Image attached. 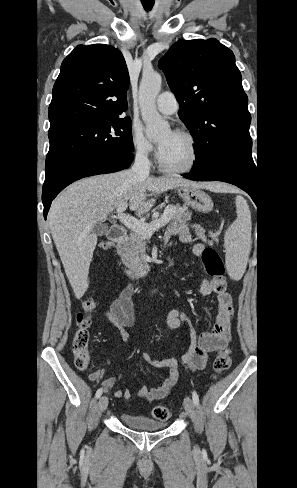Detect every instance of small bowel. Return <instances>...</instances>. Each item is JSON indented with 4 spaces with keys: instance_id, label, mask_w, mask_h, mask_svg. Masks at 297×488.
<instances>
[{
    "instance_id": "obj_1",
    "label": "small bowel",
    "mask_w": 297,
    "mask_h": 488,
    "mask_svg": "<svg viewBox=\"0 0 297 488\" xmlns=\"http://www.w3.org/2000/svg\"><path fill=\"white\" fill-rule=\"evenodd\" d=\"M175 236L178 237L179 241L182 243L189 244L194 241V236L188 225H172L168 227L165 233V241L169 242ZM204 251L205 246L203 243H195L192 247V253L195 256H201ZM200 292L203 295L214 293L215 291L211 281L203 279L200 283ZM133 293L134 287L132 285H127L112 301L110 310L104 315L105 319L118 329L125 343L129 342L127 328L131 327L135 320L132 303ZM232 313L233 305L231 296L226 292L217 293L215 322L212 328L202 333L197 341L195 329L191 324L189 317L179 309H172L169 312L167 317L169 326L174 329L185 327L192 338L190 345L182 357V364L191 370H201L206 367L210 352L217 350L220 346L228 343L230 340V319ZM141 358L147 365L153 368H166L168 373L162 385L148 388L146 385L142 384L137 392V396L148 401L165 398L178 380V361L173 358L158 360L147 353H143ZM120 378L121 375L113 374L107 368L97 370L89 375V380L93 382L103 379L101 389H104L106 392L109 391ZM114 396L116 398L128 400L131 397V393L127 388H121L115 391Z\"/></svg>"
}]
</instances>
